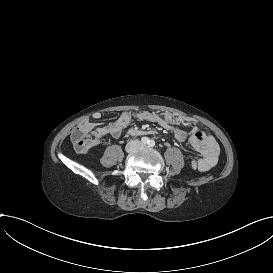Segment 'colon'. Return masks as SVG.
I'll list each match as a JSON object with an SVG mask.
<instances>
[{
    "mask_svg": "<svg viewBox=\"0 0 273 273\" xmlns=\"http://www.w3.org/2000/svg\"><path fill=\"white\" fill-rule=\"evenodd\" d=\"M92 132V123L90 121H83L81 125L74 127L73 132L68 134V141L79 152L93 151L95 149V142L86 138Z\"/></svg>",
    "mask_w": 273,
    "mask_h": 273,
    "instance_id": "1",
    "label": "colon"
}]
</instances>
